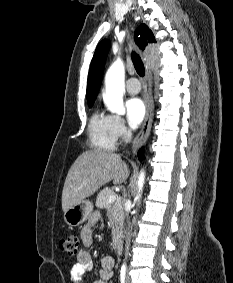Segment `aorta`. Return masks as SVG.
<instances>
[{
  "label": "aorta",
  "mask_w": 233,
  "mask_h": 283,
  "mask_svg": "<svg viewBox=\"0 0 233 283\" xmlns=\"http://www.w3.org/2000/svg\"><path fill=\"white\" fill-rule=\"evenodd\" d=\"M124 79H125V66L124 63L117 59L108 69L105 76V93L103 100L106 107L112 112L119 115L125 114V107L123 105L124 93ZM145 181V172L141 170L138 177V192H142Z\"/></svg>",
  "instance_id": "aorta-1"
}]
</instances>
